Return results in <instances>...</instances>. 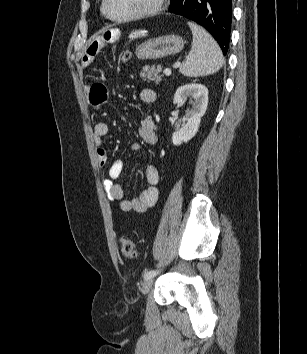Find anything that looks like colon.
Listing matches in <instances>:
<instances>
[{"instance_id":"obj_1","label":"colon","mask_w":307,"mask_h":354,"mask_svg":"<svg viewBox=\"0 0 307 354\" xmlns=\"http://www.w3.org/2000/svg\"><path fill=\"white\" fill-rule=\"evenodd\" d=\"M131 58V52L129 50H123L120 53V60L122 62H127ZM119 245L121 253L127 258H136L138 255V250L136 243L129 236L123 235L119 239Z\"/></svg>"}]
</instances>
